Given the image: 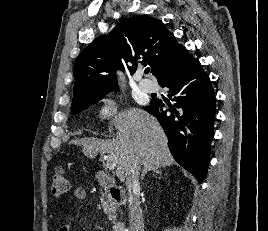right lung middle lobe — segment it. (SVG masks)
Returning a JSON list of instances; mask_svg holds the SVG:
<instances>
[{
	"label": "right lung middle lobe",
	"mask_w": 268,
	"mask_h": 231,
	"mask_svg": "<svg viewBox=\"0 0 268 231\" xmlns=\"http://www.w3.org/2000/svg\"><path fill=\"white\" fill-rule=\"evenodd\" d=\"M102 98L103 97L98 98V99H94V100L82 101V102L75 103V104L71 105V112L72 113H79L82 110H84V109L90 107L91 105L95 104L96 102H98Z\"/></svg>",
	"instance_id": "right-lung-middle-lobe-1"
}]
</instances>
